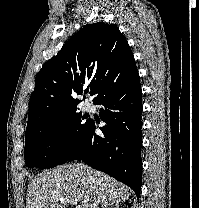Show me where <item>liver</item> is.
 <instances>
[{
  "label": "liver",
  "mask_w": 199,
  "mask_h": 208,
  "mask_svg": "<svg viewBox=\"0 0 199 208\" xmlns=\"http://www.w3.org/2000/svg\"><path fill=\"white\" fill-rule=\"evenodd\" d=\"M128 188L109 175L79 164H65L46 170L28 185L26 208H65L57 198L77 200L81 208H91L98 200L102 208L125 202Z\"/></svg>",
  "instance_id": "liver-1"
}]
</instances>
